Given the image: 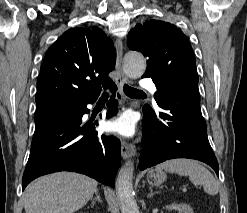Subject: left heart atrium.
<instances>
[{"mask_svg":"<svg viewBox=\"0 0 247 213\" xmlns=\"http://www.w3.org/2000/svg\"><path fill=\"white\" fill-rule=\"evenodd\" d=\"M106 129L117 135L130 137L135 132V124L130 115L124 114L119 118L109 122L106 125Z\"/></svg>","mask_w":247,"mask_h":213,"instance_id":"39dd6f15","label":"left heart atrium"}]
</instances>
